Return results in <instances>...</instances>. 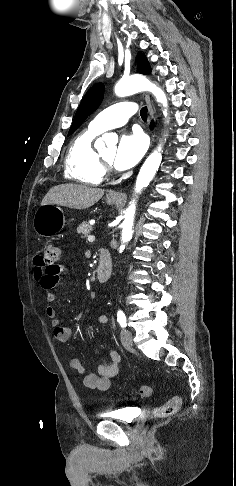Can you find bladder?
<instances>
[{"label":"bladder","mask_w":236,"mask_h":486,"mask_svg":"<svg viewBox=\"0 0 236 486\" xmlns=\"http://www.w3.org/2000/svg\"><path fill=\"white\" fill-rule=\"evenodd\" d=\"M136 412L133 408L124 407L112 411L103 412L100 417L120 423L130 424L136 419Z\"/></svg>","instance_id":"bladder-1"}]
</instances>
